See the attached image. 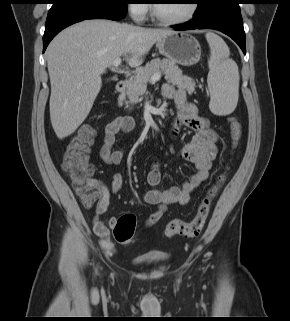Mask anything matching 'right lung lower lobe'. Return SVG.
Instances as JSON below:
<instances>
[{
    "label": "right lung lower lobe",
    "mask_w": 290,
    "mask_h": 321,
    "mask_svg": "<svg viewBox=\"0 0 290 321\" xmlns=\"http://www.w3.org/2000/svg\"><path fill=\"white\" fill-rule=\"evenodd\" d=\"M127 8L86 9L62 6L49 10L43 36V52L50 41L64 28L86 19L120 20L125 17Z\"/></svg>",
    "instance_id": "98d812e1"
}]
</instances>
